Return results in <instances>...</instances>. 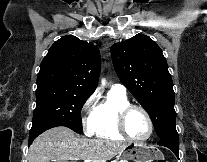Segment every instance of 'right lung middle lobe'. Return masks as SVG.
<instances>
[{"instance_id": "1", "label": "right lung middle lobe", "mask_w": 207, "mask_h": 162, "mask_svg": "<svg viewBox=\"0 0 207 162\" xmlns=\"http://www.w3.org/2000/svg\"><path fill=\"white\" fill-rule=\"evenodd\" d=\"M89 96L52 87L37 89L32 127L50 123L81 133V109Z\"/></svg>"}]
</instances>
